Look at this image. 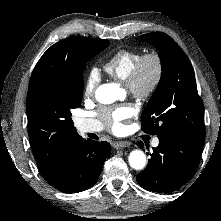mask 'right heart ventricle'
I'll use <instances>...</instances> for the list:
<instances>
[{"mask_svg": "<svg viewBox=\"0 0 221 221\" xmlns=\"http://www.w3.org/2000/svg\"><path fill=\"white\" fill-rule=\"evenodd\" d=\"M141 57V51L122 49L109 57V59L104 63L103 67L107 74L112 78L126 83Z\"/></svg>", "mask_w": 221, "mask_h": 221, "instance_id": "1", "label": "right heart ventricle"}]
</instances>
